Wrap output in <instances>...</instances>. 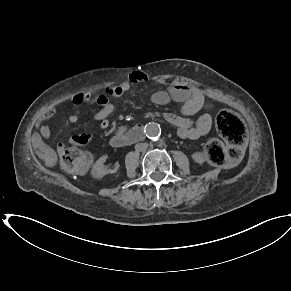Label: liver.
Wrapping results in <instances>:
<instances>
[{
  "label": "liver",
  "instance_id": "1",
  "mask_svg": "<svg viewBox=\"0 0 291 291\" xmlns=\"http://www.w3.org/2000/svg\"><path fill=\"white\" fill-rule=\"evenodd\" d=\"M38 156L45 161L48 165L53 166L56 163L57 156L54 150L52 149H43L42 151H37Z\"/></svg>",
  "mask_w": 291,
  "mask_h": 291
}]
</instances>
